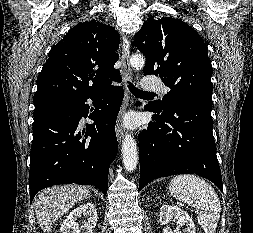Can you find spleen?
I'll return each instance as SVG.
<instances>
[{
  "label": "spleen",
  "instance_id": "1",
  "mask_svg": "<svg viewBox=\"0 0 253 233\" xmlns=\"http://www.w3.org/2000/svg\"><path fill=\"white\" fill-rule=\"evenodd\" d=\"M170 193L179 201L194 207L205 233H215L221 205L210 184L195 175H178L169 183Z\"/></svg>",
  "mask_w": 253,
  "mask_h": 233
}]
</instances>
